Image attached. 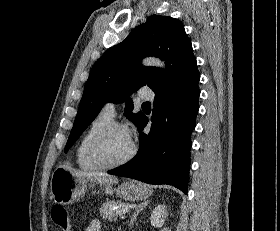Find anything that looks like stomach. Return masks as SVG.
Returning a JSON list of instances; mask_svg holds the SVG:
<instances>
[{
    "label": "stomach",
    "instance_id": "0dacf381",
    "mask_svg": "<svg viewBox=\"0 0 280 231\" xmlns=\"http://www.w3.org/2000/svg\"><path fill=\"white\" fill-rule=\"evenodd\" d=\"M89 187H93L90 179L72 175L71 171L62 167V165L57 167L51 175L50 193L55 203H72L74 199L83 195ZM103 191L110 193V195L116 191L119 197L128 199V201L147 199L151 195L150 189H147L143 183H138V181H123L116 189H113L111 183H109V185H105Z\"/></svg>",
    "mask_w": 280,
    "mask_h": 231
}]
</instances>
